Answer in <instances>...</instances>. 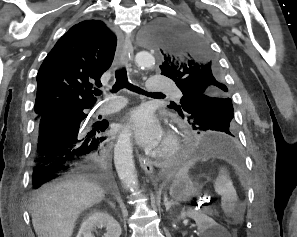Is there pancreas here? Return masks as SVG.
Masks as SVG:
<instances>
[{
	"label": "pancreas",
	"instance_id": "cf45deb5",
	"mask_svg": "<svg viewBox=\"0 0 297 237\" xmlns=\"http://www.w3.org/2000/svg\"><path fill=\"white\" fill-rule=\"evenodd\" d=\"M204 212L207 213V214H209V215L218 214L217 211L212 210V209H210V208H205V209H204Z\"/></svg>",
	"mask_w": 297,
	"mask_h": 237
}]
</instances>
